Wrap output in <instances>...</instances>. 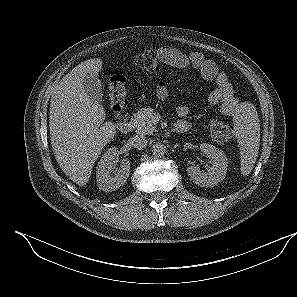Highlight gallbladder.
Instances as JSON below:
<instances>
[{
	"label": "gallbladder",
	"instance_id": "1",
	"mask_svg": "<svg viewBox=\"0 0 297 297\" xmlns=\"http://www.w3.org/2000/svg\"><path fill=\"white\" fill-rule=\"evenodd\" d=\"M83 87L85 89L86 95L89 99H91L94 103L101 104L102 102V87L101 82L97 75L95 74H87L83 78Z\"/></svg>",
	"mask_w": 297,
	"mask_h": 297
}]
</instances>
